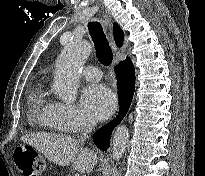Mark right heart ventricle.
<instances>
[{
  "mask_svg": "<svg viewBox=\"0 0 205 176\" xmlns=\"http://www.w3.org/2000/svg\"><path fill=\"white\" fill-rule=\"evenodd\" d=\"M33 121L45 126L48 131L60 132L62 125L56 115V102L53 101L42 84H37L31 95Z\"/></svg>",
  "mask_w": 205,
  "mask_h": 176,
  "instance_id": "1",
  "label": "right heart ventricle"
}]
</instances>
